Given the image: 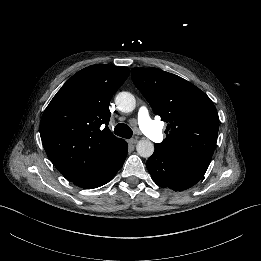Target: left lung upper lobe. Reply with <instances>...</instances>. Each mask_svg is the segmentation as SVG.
Segmentation results:
<instances>
[{
	"instance_id": "left-lung-upper-lobe-1",
	"label": "left lung upper lobe",
	"mask_w": 261,
	"mask_h": 261,
	"mask_svg": "<svg viewBox=\"0 0 261 261\" xmlns=\"http://www.w3.org/2000/svg\"><path fill=\"white\" fill-rule=\"evenodd\" d=\"M131 77L154 113L169 123L166 138L155 146L210 162L219 129L210 98L187 80L158 68H133Z\"/></svg>"
}]
</instances>
